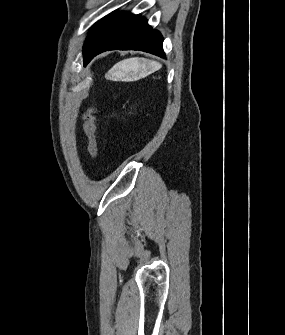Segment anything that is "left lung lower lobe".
<instances>
[{
    "mask_svg": "<svg viewBox=\"0 0 285 335\" xmlns=\"http://www.w3.org/2000/svg\"><path fill=\"white\" fill-rule=\"evenodd\" d=\"M162 35L147 20L131 13H110L97 21L85 41L84 66L107 50H141L165 57Z\"/></svg>",
    "mask_w": 285,
    "mask_h": 335,
    "instance_id": "obj_1",
    "label": "left lung lower lobe"
}]
</instances>
